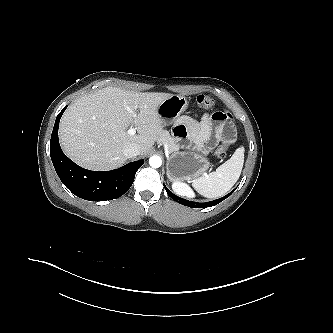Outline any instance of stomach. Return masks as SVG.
<instances>
[{
    "label": "stomach",
    "mask_w": 333,
    "mask_h": 333,
    "mask_svg": "<svg viewBox=\"0 0 333 333\" xmlns=\"http://www.w3.org/2000/svg\"><path fill=\"white\" fill-rule=\"evenodd\" d=\"M188 107V100L182 95H171L158 107L157 111L163 123H173ZM210 167L205 156L195 152H176L167 162V170L173 180L195 179Z\"/></svg>",
    "instance_id": "0dacf381"
}]
</instances>
